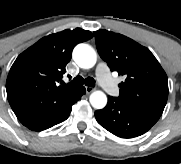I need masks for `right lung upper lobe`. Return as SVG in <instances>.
I'll return each instance as SVG.
<instances>
[{"instance_id":"right-lung-upper-lobe-1","label":"right lung upper lobe","mask_w":181,"mask_h":164,"mask_svg":"<svg viewBox=\"0 0 181 164\" xmlns=\"http://www.w3.org/2000/svg\"><path fill=\"white\" fill-rule=\"evenodd\" d=\"M93 37L76 28L48 35L21 53L6 81L7 98L14 113L46 110L64 101L79 87L58 86L73 48Z\"/></svg>"}]
</instances>
